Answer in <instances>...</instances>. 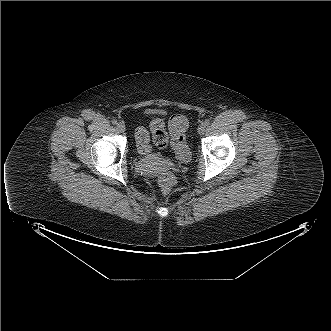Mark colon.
<instances>
[{"mask_svg":"<svg viewBox=\"0 0 331 331\" xmlns=\"http://www.w3.org/2000/svg\"><path fill=\"white\" fill-rule=\"evenodd\" d=\"M154 122V121H153ZM188 120L184 115L175 114L171 116L168 122L169 136L161 125H156L153 131V142L159 148H165L168 144L175 150L178 158L182 162H187L190 158L189 150L186 144V131ZM148 143L143 137L141 148L145 150ZM158 184L164 194L171 191L175 184V178L170 173H162L158 178Z\"/></svg>","mask_w":331,"mask_h":331,"instance_id":"obj_1","label":"colon"}]
</instances>
